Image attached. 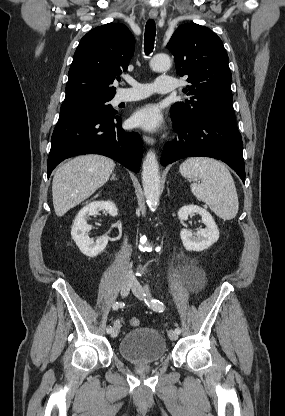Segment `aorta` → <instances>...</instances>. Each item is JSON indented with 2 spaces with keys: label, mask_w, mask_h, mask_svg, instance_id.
Returning <instances> with one entry per match:
<instances>
[{
  "label": "aorta",
  "mask_w": 285,
  "mask_h": 416,
  "mask_svg": "<svg viewBox=\"0 0 285 416\" xmlns=\"http://www.w3.org/2000/svg\"><path fill=\"white\" fill-rule=\"evenodd\" d=\"M150 67L156 72H165L171 67V59L166 54H157L152 58ZM142 184L149 207L156 209L160 197V175L157 157L152 150L148 151L143 161Z\"/></svg>",
  "instance_id": "762f6f07"
}]
</instances>
